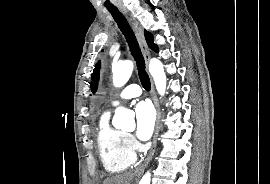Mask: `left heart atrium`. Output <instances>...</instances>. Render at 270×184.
Listing matches in <instances>:
<instances>
[{"mask_svg":"<svg viewBox=\"0 0 270 184\" xmlns=\"http://www.w3.org/2000/svg\"><path fill=\"white\" fill-rule=\"evenodd\" d=\"M136 135L140 140H148L154 131L155 112L149 102H140L135 108Z\"/></svg>","mask_w":270,"mask_h":184,"instance_id":"left-heart-atrium-1","label":"left heart atrium"}]
</instances>
